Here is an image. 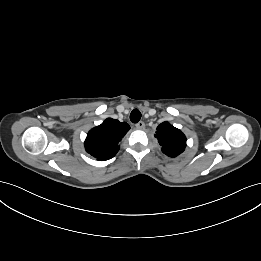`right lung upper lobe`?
Masks as SVG:
<instances>
[{
    "instance_id": "cb5924a9",
    "label": "right lung upper lobe",
    "mask_w": 261,
    "mask_h": 261,
    "mask_svg": "<svg viewBox=\"0 0 261 261\" xmlns=\"http://www.w3.org/2000/svg\"><path fill=\"white\" fill-rule=\"evenodd\" d=\"M129 129L126 122L107 118L89 131L84 143L87 153L99 161L113 158L119 150V142Z\"/></svg>"
}]
</instances>
